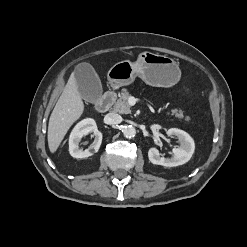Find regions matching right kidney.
<instances>
[{
  "label": "right kidney",
  "mask_w": 247,
  "mask_h": 247,
  "mask_svg": "<svg viewBox=\"0 0 247 247\" xmlns=\"http://www.w3.org/2000/svg\"><path fill=\"white\" fill-rule=\"evenodd\" d=\"M93 133L95 139L88 149L79 148V143L83 136ZM102 143V133L97 129L94 119L87 118L80 121L72 130L69 137V152L74 158H87L96 153Z\"/></svg>",
  "instance_id": "ca27d5eb"
}]
</instances>
